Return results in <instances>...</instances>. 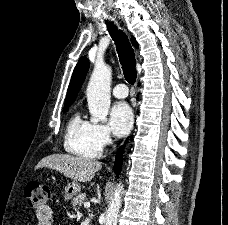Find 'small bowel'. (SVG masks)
<instances>
[{"label":"small bowel","mask_w":228,"mask_h":225,"mask_svg":"<svg viewBox=\"0 0 228 225\" xmlns=\"http://www.w3.org/2000/svg\"><path fill=\"white\" fill-rule=\"evenodd\" d=\"M37 225H53L52 210L49 206L36 211Z\"/></svg>","instance_id":"c3829d8e"}]
</instances>
